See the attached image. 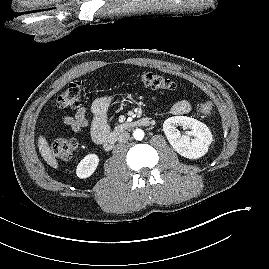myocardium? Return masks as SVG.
<instances>
[{
    "label": "myocardium",
    "mask_w": 269,
    "mask_h": 269,
    "mask_svg": "<svg viewBox=\"0 0 269 269\" xmlns=\"http://www.w3.org/2000/svg\"><path fill=\"white\" fill-rule=\"evenodd\" d=\"M38 4H49L52 1H57V0H35Z\"/></svg>",
    "instance_id": "obj_1"
}]
</instances>
